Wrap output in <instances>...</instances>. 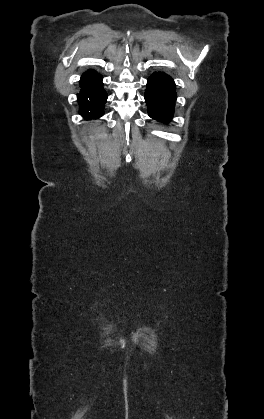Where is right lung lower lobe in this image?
Returning a JSON list of instances; mask_svg holds the SVG:
<instances>
[{
  "label": "right lung lower lobe",
  "mask_w": 264,
  "mask_h": 419,
  "mask_svg": "<svg viewBox=\"0 0 264 419\" xmlns=\"http://www.w3.org/2000/svg\"><path fill=\"white\" fill-rule=\"evenodd\" d=\"M107 101V94L103 89L102 76L81 81V90L78 94L80 114L91 120L103 115L104 105Z\"/></svg>",
  "instance_id": "98d812e1"
}]
</instances>
